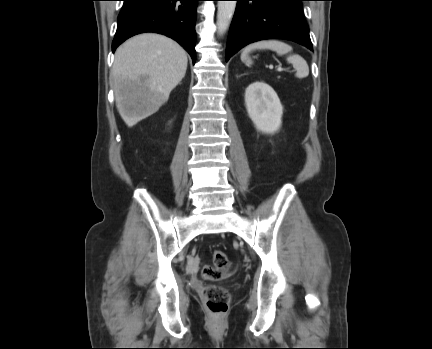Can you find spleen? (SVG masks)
<instances>
[{
  "mask_svg": "<svg viewBox=\"0 0 432 349\" xmlns=\"http://www.w3.org/2000/svg\"><path fill=\"white\" fill-rule=\"evenodd\" d=\"M255 49H270L278 55H284L292 51V47L279 40H262L246 46L241 54V60L247 65H252V59L249 53ZM287 61L293 65L296 70V77L305 78L309 75L307 62L298 54L289 55Z\"/></svg>",
  "mask_w": 432,
  "mask_h": 349,
  "instance_id": "3e777b00",
  "label": "spleen"
}]
</instances>
